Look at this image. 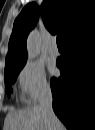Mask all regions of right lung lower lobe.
Instances as JSON below:
<instances>
[{
    "mask_svg": "<svg viewBox=\"0 0 95 130\" xmlns=\"http://www.w3.org/2000/svg\"><path fill=\"white\" fill-rule=\"evenodd\" d=\"M60 77L51 80L53 109L69 130H88L95 114V27L64 43Z\"/></svg>",
    "mask_w": 95,
    "mask_h": 130,
    "instance_id": "1",
    "label": "right lung lower lobe"
}]
</instances>
